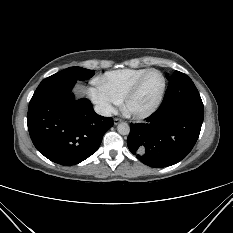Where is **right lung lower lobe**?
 I'll return each mask as SVG.
<instances>
[{
    "instance_id": "1",
    "label": "right lung lower lobe",
    "mask_w": 233,
    "mask_h": 233,
    "mask_svg": "<svg viewBox=\"0 0 233 233\" xmlns=\"http://www.w3.org/2000/svg\"><path fill=\"white\" fill-rule=\"evenodd\" d=\"M75 80L48 77L29 103L27 124L37 150L61 165H75L99 148L113 119L96 114L91 102L74 99Z\"/></svg>"
}]
</instances>
